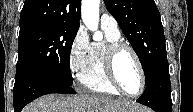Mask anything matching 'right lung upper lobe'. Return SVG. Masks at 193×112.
I'll list each match as a JSON object with an SVG mask.
<instances>
[{
    "mask_svg": "<svg viewBox=\"0 0 193 112\" xmlns=\"http://www.w3.org/2000/svg\"><path fill=\"white\" fill-rule=\"evenodd\" d=\"M81 0H25L20 30L41 24L80 26Z\"/></svg>",
    "mask_w": 193,
    "mask_h": 112,
    "instance_id": "obj_1",
    "label": "right lung upper lobe"
}]
</instances>
